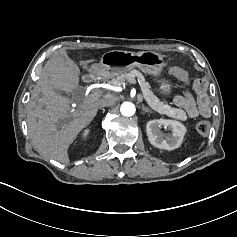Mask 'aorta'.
Returning <instances> with one entry per match:
<instances>
[{"label": "aorta", "mask_w": 237, "mask_h": 237, "mask_svg": "<svg viewBox=\"0 0 237 237\" xmlns=\"http://www.w3.org/2000/svg\"><path fill=\"white\" fill-rule=\"evenodd\" d=\"M120 113L125 117H131L135 114V106L130 102H124L120 107Z\"/></svg>", "instance_id": "1"}]
</instances>
